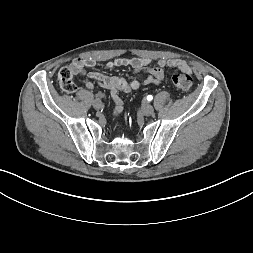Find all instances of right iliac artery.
I'll list each match as a JSON object with an SVG mask.
<instances>
[{
  "label": "right iliac artery",
  "mask_w": 253,
  "mask_h": 253,
  "mask_svg": "<svg viewBox=\"0 0 253 253\" xmlns=\"http://www.w3.org/2000/svg\"><path fill=\"white\" fill-rule=\"evenodd\" d=\"M95 97H96V99L100 100L101 98H104L105 95L103 93H97Z\"/></svg>",
  "instance_id": "82829eb1"
}]
</instances>
